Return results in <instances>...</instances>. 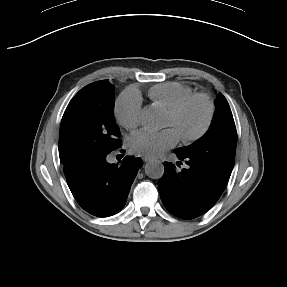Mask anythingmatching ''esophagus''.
Instances as JSON below:
<instances>
[{"instance_id": "34e87169", "label": "esophagus", "mask_w": 287, "mask_h": 287, "mask_svg": "<svg viewBox=\"0 0 287 287\" xmlns=\"http://www.w3.org/2000/svg\"><path fill=\"white\" fill-rule=\"evenodd\" d=\"M151 160H152V159L149 158V157H144V158H143V161H144V162H149V161H151Z\"/></svg>"}]
</instances>
